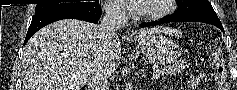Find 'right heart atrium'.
Instances as JSON below:
<instances>
[{
    "instance_id": "1",
    "label": "right heart atrium",
    "mask_w": 237,
    "mask_h": 90,
    "mask_svg": "<svg viewBox=\"0 0 237 90\" xmlns=\"http://www.w3.org/2000/svg\"><path fill=\"white\" fill-rule=\"evenodd\" d=\"M109 13L113 16V17H116V18H120L123 13H124V10L121 6L119 5H114V6H110L109 8Z\"/></svg>"
}]
</instances>
